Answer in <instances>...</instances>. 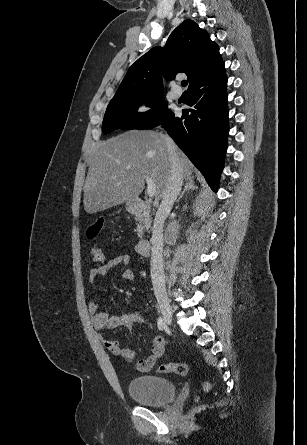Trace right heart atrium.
Here are the masks:
<instances>
[{"label":"right heart atrium","mask_w":307,"mask_h":445,"mask_svg":"<svg viewBox=\"0 0 307 445\" xmlns=\"http://www.w3.org/2000/svg\"><path fill=\"white\" fill-rule=\"evenodd\" d=\"M157 110V105L153 100H145L141 103L138 113L141 117H149Z\"/></svg>","instance_id":"obj_1"}]
</instances>
